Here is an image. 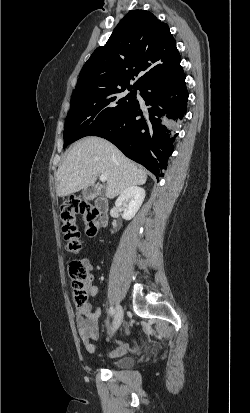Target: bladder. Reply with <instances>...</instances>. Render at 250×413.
I'll return each instance as SVG.
<instances>
[{"label":"bladder","instance_id":"bladder-1","mask_svg":"<svg viewBox=\"0 0 250 413\" xmlns=\"http://www.w3.org/2000/svg\"><path fill=\"white\" fill-rule=\"evenodd\" d=\"M133 365V359L129 356L119 357L110 363L113 368H129Z\"/></svg>","mask_w":250,"mask_h":413}]
</instances>
